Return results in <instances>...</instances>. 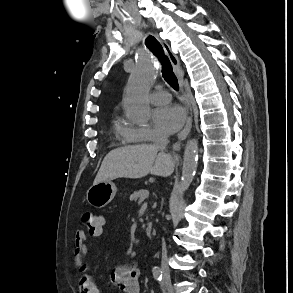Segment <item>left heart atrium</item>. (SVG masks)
<instances>
[{
  "mask_svg": "<svg viewBox=\"0 0 293 293\" xmlns=\"http://www.w3.org/2000/svg\"><path fill=\"white\" fill-rule=\"evenodd\" d=\"M185 120V112L176 104H169L157 108L153 112L155 126L165 134L176 132Z\"/></svg>",
  "mask_w": 293,
  "mask_h": 293,
  "instance_id": "left-heart-atrium-1",
  "label": "left heart atrium"
}]
</instances>
